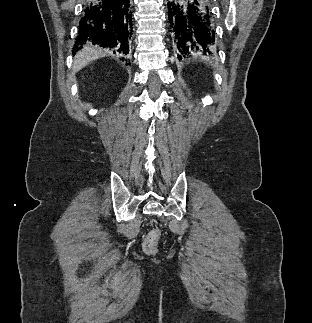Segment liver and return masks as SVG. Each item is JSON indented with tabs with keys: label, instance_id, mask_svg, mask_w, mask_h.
<instances>
[{
	"label": "liver",
	"instance_id": "obj_1",
	"mask_svg": "<svg viewBox=\"0 0 312 323\" xmlns=\"http://www.w3.org/2000/svg\"><path fill=\"white\" fill-rule=\"evenodd\" d=\"M107 50H95V48H88V46H84L82 50L77 52L76 56H74L72 70L73 72H79L82 68H85L89 62H93V60H97L103 54H106Z\"/></svg>",
	"mask_w": 312,
	"mask_h": 323
}]
</instances>
